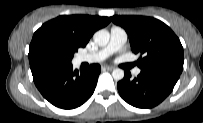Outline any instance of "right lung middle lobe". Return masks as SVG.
Here are the masks:
<instances>
[{
	"label": "right lung middle lobe",
	"instance_id": "obj_1",
	"mask_svg": "<svg viewBox=\"0 0 203 123\" xmlns=\"http://www.w3.org/2000/svg\"><path fill=\"white\" fill-rule=\"evenodd\" d=\"M78 48L75 42L61 30L41 26L34 33L29 47L30 66L37 63L71 64Z\"/></svg>",
	"mask_w": 203,
	"mask_h": 123
}]
</instances>
